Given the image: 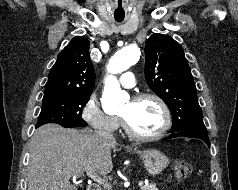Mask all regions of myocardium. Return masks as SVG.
I'll return each mask as SVG.
<instances>
[{
	"label": "myocardium",
	"instance_id": "myocardium-1",
	"mask_svg": "<svg viewBox=\"0 0 238 190\" xmlns=\"http://www.w3.org/2000/svg\"><path fill=\"white\" fill-rule=\"evenodd\" d=\"M146 99L155 101L159 105V107L162 111V114H163V124H162L161 128L158 131H156L155 133H153V134L138 133L132 129V127L130 126L128 121L123 116H120L121 123H122V126H123L125 132L131 138L139 140V141H152V140L161 138L170 129L171 122H172L171 112H170L168 105L157 94L150 93V92H141V93H137V94L133 95V97L131 98V100L134 102H138V101L146 100Z\"/></svg>",
	"mask_w": 238,
	"mask_h": 190
}]
</instances>
